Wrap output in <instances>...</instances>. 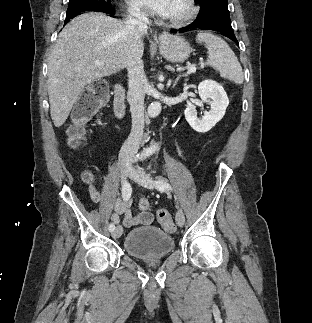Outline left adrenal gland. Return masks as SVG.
<instances>
[{
    "label": "left adrenal gland",
    "mask_w": 312,
    "mask_h": 323,
    "mask_svg": "<svg viewBox=\"0 0 312 323\" xmlns=\"http://www.w3.org/2000/svg\"><path fill=\"white\" fill-rule=\"evenodd\" d=\"M180 78H181V76H178V78H176L172 88H175V86H176L177 82H179ZM169 84H170V82H169Z\"/></svg>",
    "instance_id": "1"
}]
</instances>
